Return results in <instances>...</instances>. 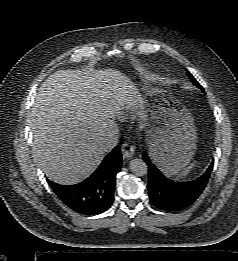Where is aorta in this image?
I'll return each instance as SVG.
<instances>
[{
	"mask_svg": "<svg viewBox=\"0 0 238 261\" xmlns=\"http://www.w3.org/2000/svg\"><path fill=\"white\" fill-rule=\"evenodd\" d=\"M130 171L136 176H144L147 174V164L142 160L135 158L130 161Z\"/></svg>",
	"mask_w": 238,
	"mask_h": 261,
	"instance_id": "1",
	"label": "aorta"
}]
</instances>
